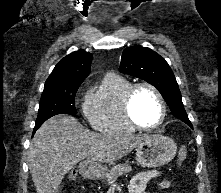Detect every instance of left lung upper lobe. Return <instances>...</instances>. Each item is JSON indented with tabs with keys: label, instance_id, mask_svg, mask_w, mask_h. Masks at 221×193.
<instances>
[{
	"label": "left lung upper lobe",
	"instance_id": "5c2ea615",
	"mask_svg": "<svg viewBox=\"0 0 221 193\" xmlns=\"http://www.w3.org/2000/svg\"><path fill=\"white\" fill-rule=\"evenodd\" d=\"M119 71L155 86L173 115L192 127L183 107L175 76L168 63L158 53L139 45L128 47L122 53Z\"/></svg>",
	"mask_w": 221,
	"mask_h": 193
}]
</instances>
